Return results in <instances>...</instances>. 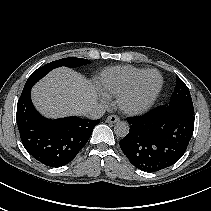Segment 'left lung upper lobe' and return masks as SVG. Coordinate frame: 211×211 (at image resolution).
<instances>
[{
  "mask_svg": "<svg viewBox=\"0 0 211 211\" xmlns=\"http://www.w3.org/2000/svg\"><path fill=\"white\" fill-rule=\"evenodd\" d=\"M161 107L164 109H181L194 113L189 89L178 76L176 77V87L170 98V103Z\"/></svg>",
  "mask_w": 211,
  "mask_h": 211,
  "instance_id": "left-lung-upper-lobe-1",
  "label": "left lung upper lobe"
}]
</instances>
